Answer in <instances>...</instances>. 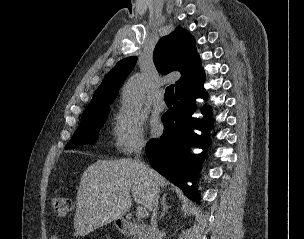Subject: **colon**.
<instances>
[{"label":"colon","instance_id":"5ec220e1","mask_svg":"<svg viewBox=\"0 0 304 239\" xmlns=\"http://www.w3.org/2000/svg\"><path fill=\"white\" fill-rule=\"evenodd\" d=\"M52 208L57 217H65L72 209V200L64 196H55L52 201Z\"/></svg>","mask_w":304,"mask_h":239}]
</instances>
